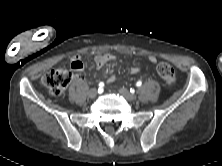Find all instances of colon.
I'll list each match as a JSON object with an SVG mask.
<instances>
[{
    "mask_svg": "<svg viewBox=\"0 0 222 166\" xmlns=\"http://www.w3.org/2000/svg\"><path fill=\"white\" fill-rule=\"evenodd\" d=\"M158 75L166 85L172 86L176 81V72L173 66L167 62H160L156 67ZM73 74L66 68H58L47 72L41 79L42 84L53 95H61L69 86Z\"/></svg>",
    "mask_w": 222,
    "mask_h": 166,
    "instance_id": "colon-1",
    "label": "colon"
}]
</instances>
